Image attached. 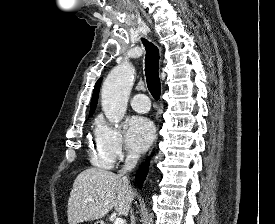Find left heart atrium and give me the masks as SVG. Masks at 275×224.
Masks as SVG:
<instances>
[{"mask_svg": "<svg viewBox=\"0 0 275 224\" xmlns=\"http://www.w3.org/2000/svg\"><path fill=\"white\" fill-rule=\"evenodd\" d=\"M155 137L153 123L145 117H134L128 126L127 141L136 152L146 150Z\"/></svg>", "mask_w": 275, "mask_h": 224, "instance_id": "1", "label": "left heart atrium"}]
</instances>
